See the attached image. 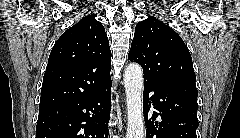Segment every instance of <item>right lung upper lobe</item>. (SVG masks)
I'll list each match as a JSON object with an SVG mask.
<instances>
[{
	"mask_svg": "<svg viewBox=\"0 0 240 138\" xmlns=\"http://www.w3.org/2000/svg\"><path fill=\"white\" fill-rule=\"evenodd\" d=\"M95 17H84L55 43L43 77L39 110L86 96L111 79L108 38Z\"/></svg>",
	"mask_w": 240,
	"mask_h": 138,
	"instance_id": "1",
	"label": "right lung upper lobe"
}]
</instances>
